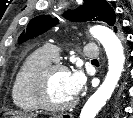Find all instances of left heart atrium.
<instances>
[{"mask_svg": "<svg viewBox=\"0 0 133 118\" xmlns=\"http://www.w3.org/2000/svg\"><path fill=\"white\" fill-rule=\"evenodd\" d=\"M84 83L85 77L80 70L68 72L67 85L69 92L73 97L77 96L80 93L84 86Z\"/></svg>", "mask_w": 133, "mask_h": 118, "instance_id": "1", "label": "left heart atrium"}]
</instances>
